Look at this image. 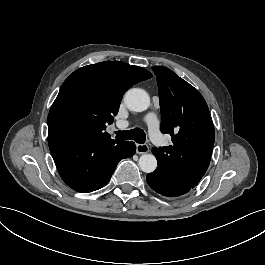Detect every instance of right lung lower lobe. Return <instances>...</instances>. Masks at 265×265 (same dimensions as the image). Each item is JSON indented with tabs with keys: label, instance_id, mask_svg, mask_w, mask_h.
I'll use <instances>...</instances> for the list:
<instances>
[{
	"label": "right lung lower lobe",
	"instance_id": "98d812e1",
	"mask_svg": "<svg viewBox=\"0 0 265 265\" xmlns=\"http://www.w3.org/2000/svg\"><path fill=\"white\" fill-rule=\"evenodd\" d=\"M49 149L63 181L88 193L103 187L118 162L134 155V142L68 133H49Z\"/></svg>",
	"mask_w": 265,
	"mask_h": 265
}]
</instances>
